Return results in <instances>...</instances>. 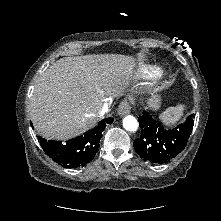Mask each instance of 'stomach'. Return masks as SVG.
<instances>
[{
    "label": "stomach",
    "mask_w": 221,
    "mask_h": 221,
    "mask_svg": "<svg viewBox=\"0 0 221 221\" xmlns=\"http://www.w3.org/2000/svg\"><path fill=\"white\" fill-rule=\"evenodd\" d=\"M148 108L153 109V110H157L160 107V97L159 95H152L148 101Z\"/></svg>",
    "instance_id": "0dacf381"
}]
</instances>
